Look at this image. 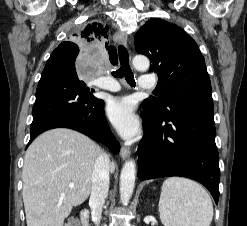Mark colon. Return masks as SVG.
Returning a JSON list of instances; mask_svg holds the SVG:
<instances>
[{
    "label": "colon",
    "instance_id": "colon-1",
    "mask_svg": "<svg viewBox=\"0 0 247 226\" xmlns=\"http://www.w3.org/2000/svg\"><path fill=\"white\" fill-rule=\"evenodd\" d=\"M64 226H81V221L77 217H69Z\"/></svg>",
    "mask_w": 247,
    "mask_h": 226
}]
</instances>
